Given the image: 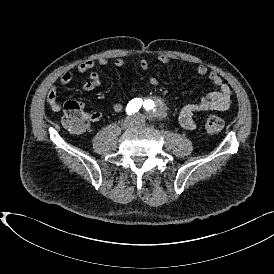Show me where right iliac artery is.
<instances>
[{
	"label": "right iliac artery",
	"instance_id": "right-iliac-artery-1",
	"mask_svg": "<svg viewBox=\"0 0 274 274\" xmlns=\"http://www.w3.org/2000/svg\"><path fill=\"white\" fill-rule=\"evenodd\" d=\"M142 106V100L140 98L132 99L126 108L127 114H134L136 113Z\"/></svg>",
	"mask_w": 274,
	"mask_h": 274
}]
</instances>
